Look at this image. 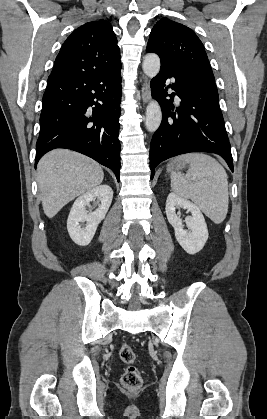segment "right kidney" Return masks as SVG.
<instances>
[{
	"instance_id": "ca27d5eb",
	"label": "right kidney",
	"mask_w": 267,
	"mask_h": 419,
	"mask_svg": "<svg viewBox=\"0 0 267 419\" xmlns=\"http://www.w3.org/2000/svg\"><path fill=\"white\" fill-rule=\"evenodd\" d=\"M113 190L108 185L97 186L78 197L67 219V230L71 239L80 246L88 245L93 239L98 224L105 218L111 205ZM99 200L98 208L91 213L86 211L90 207V202ZM86 222L82 227L80 223Z\"/></svg>"
}]
</instances>
